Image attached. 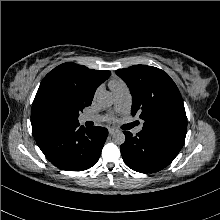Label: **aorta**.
<instances>
[{
	"mask_svg": "<svg viewBox=\"0 0 220 220\" xmlns=\"http://www.w3.org/2000/svg\"><path fill=\"white\" fill-rule=\"evenodd\" d=\"M113 96L108 92H102L97 96V103L102 108L110 107L113 104ZM125 135L122 131H117L113 134L114 143L121 145L125 142Z\"/></svg>",
	"mask_w": 220,
	"mask_h": 220,
	"instance_id": "obj_1",
	"label": "aorta"
}]
</instances>
